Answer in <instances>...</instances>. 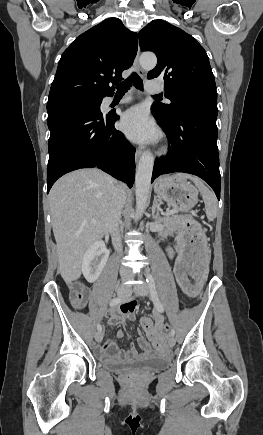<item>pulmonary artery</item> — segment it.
Returning a JSON list of instances; mask_svg holds the SVG:
<instances>
[{
  "label": "pulmonary artery",
  "instance_id": "1",
  "mask_svg": "<svg viewBox=\"0 0 263 435\" xmlns=\"http://www.w3.org/2000/svg\"><path fill=\"white\" fill-rule=\"evenodd\" d=\"M146 89L150 93H159L161 92L162 88L160 84L156 81H147L146 83ZM132 98L130 96H125L121 100L118 101L119 104H125L131 102ZM115 100L114 98L110 97L107 99L108 103H113Z\"/></svg>",
  "mask_w": 263,
  "mask_h": 435
}]
</instances>
